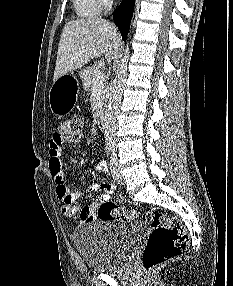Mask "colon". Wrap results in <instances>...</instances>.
<instances>
[{"label":"colon","mask_w":233,"mask_h":286,"mask_svg":"<svg viewBox=\"0 0 233 286\" xmlns=\"http://www.w3.org/2000/svg\"><path fill=\"white\" fill-rule=\"evenodd\" d=\"M82 129L83 118L75 115L58 124L56 135L64 140L75 141L80 139ZM95 214L104 221H128L135 217L134 212L126 211L110 201L99 203ZM142 218L151 228L142 255L145 270H153L187 249L189 237L177 218L153 211L145 212Z\"/></svg>","instance_id":"5ec220e1"}]
</instances>
